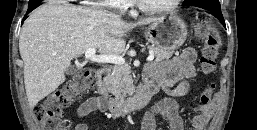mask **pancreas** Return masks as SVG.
I'll list each match as a JSON object with an SVG mask.
<instances>
[{
    "instance_id": "1",
    "label": "pancreas",
    "mask_w": 257,
    "mask_h": 130,
    "mask_svg": "<svg viewBox=\"0 0 257 130\" xmlns=\"http://www.w3.org/2000/svg\"><path fill=\"white\" fill-rule=\"evenodd\" d=\"M149 51L153 52L156 61L169 59L174 54L172 49H164L156 46H148ZM132 77L130 67L127 65H116L112 73L107 78L108 90L117 100L123 99L132 88Z\"/></svg>"
}]
</instances>
